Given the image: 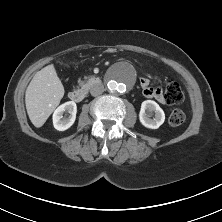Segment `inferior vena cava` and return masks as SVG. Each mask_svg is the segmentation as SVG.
Listing matches in <instances>:
<instances>
[{"mask_svg": "<svg viewBox=\"0 0 222 222\" xmlns=\"http://www.w3.org/2000/svg\"><path fill=\"white\" fill-rule=\"evenodd\" d=\"M104 86L102 84H96L91 87L90 93L92 96H98L104 92Z\"/></svg>", "mask_w": 222, "mask_h": 222, "instance_id": "obj_1", "label": "inferior vena cava"}]
</instances>
